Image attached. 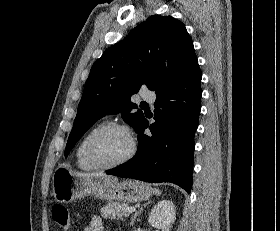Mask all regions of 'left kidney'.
<instances>
[{"mask_svg":"<svg viewBox=\"0 0 280 231\" xmlns=\"http://www.w3.org/2000/svg\"><path fill=\"white\" fill-rule=\"evenodd\" d=\"M176 215V209L173 201L170 199H162L158 201L150 211L148 221L152 227L162 229V231H169L172 227L171 223H174Z\"/></svg>","mask_w":280,"mask_h":231,"instance_id":"5707ae66","label":"left kidney"}]
</instances>
